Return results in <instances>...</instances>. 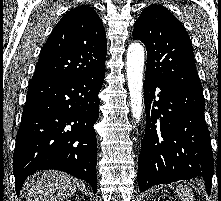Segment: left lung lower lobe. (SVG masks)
<instances>
[{"label": "left lung lower lobe", "instance_id": "0a47b994", "mask_svg": "<svg viewBox=\"0 0 221 201\" xmlns=\"http://www.w3.org/2000/svg\"><path fill=\"white\" fill-rule=\"evenodd\" d=\"M144 101L146 129L138 158L139 190L201 176L210 194L214 162L203 92L169 85L146 74Z\"/></svg>", "mask_w": 221, "mask_h": 201}]
</instances>
